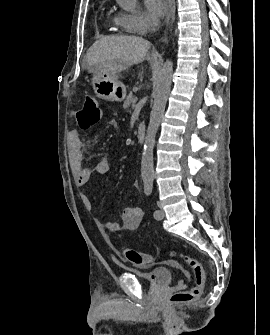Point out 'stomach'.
Returning <instances> with one entry per match:
<instances>
[{"instance_id": "1", "label": "stomach", "mask_w": 270, "mask_h": 335, "mask_svg": "<svg viewBox=\"0 0 270 335\" xmlns=\"http://www.w3.org/2000/svg\"><path fill=\"white\" fill-rule=\"evenodd\" d=\"M91 86L96 98L108 100V102H123L126 96V88L115 76L114 67H99L93 72Z\"/></svg>"}]
</instances>
